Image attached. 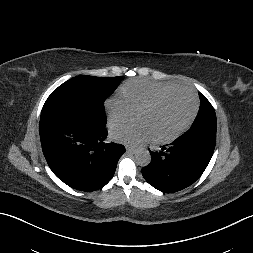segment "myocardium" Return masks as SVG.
I'll return each instance as SVG.
<instances>
[{
	"mask_svg": "<svg viewBox=\"0 0 253 253\" xmlns=\"http://www.w3.org/2000/svg\"><path fill=\"white\" fill-rule=\"evenodd\" d=\"M177 92H185V93H187L192 98V100H193V111H192L189 119L186 121V123L183 124L176 131H174L171 134L166 135V136L154 137V140L157 143L171 142V141L175 140L176 138H178L180 135H182L186 130H188L190 128V126L194 122V120H195V118L197 116L198 110H199V100H198L196 94L192 90H190V89H188L186 87H179L178 86V87L167 89V90H164V91L158 93L149 102H147L145 105H143L139 109V111L152 109L164 97H166V96H168L170 94H173V93H177Z\"/></svg>",
	"mask_w": 253,
	"mask_h": 253,
	"instance_id": "f54148a6",
	"label": "myocardium"
}]
</instances>
